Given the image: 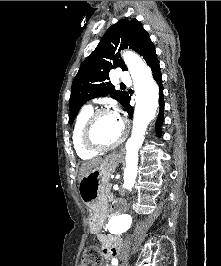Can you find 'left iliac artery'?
I'll use <instances>...</instances> for the list:
<instances>
[{"label":"left iliac artery","mask_w":221,"mask_h":266,"mask_svg":"<svg viewBox=\"0 0 221 266\" xmlns=\"http://www.w3.org/2000/svg\"><path fill=\"white\" fill-rule=\"evenodd\" d=\"M118 264V259L117 258H114L112 260V266H116Z\"/></svg>","instance_id":"left-iliac-artery-1"}]
</instances>
